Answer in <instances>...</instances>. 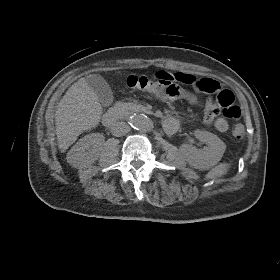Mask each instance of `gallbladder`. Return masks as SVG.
<instances>
[{"label": "gallbladder", "mask_w": 280, "mask_h": 280, "mask_svg": "<svg viewBox=\"0 0 280 280\" xmlns=\"http://www.w3.org/2000/svg\"><path fill=\"white\" fill-rule=\"evenodd\" d=\"M86 82L98 96V100L103 106H109L113 102V93L105 79L100 75H90Z\"/></svg>", "instance_id": "1"}]
</instances>
